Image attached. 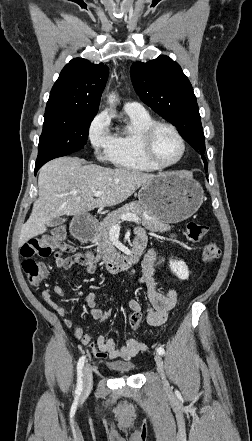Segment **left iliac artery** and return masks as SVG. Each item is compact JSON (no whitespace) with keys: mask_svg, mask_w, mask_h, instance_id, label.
Masks as SVG:
<instances>
[{"mask_svg":"<svg viewBox=\"0 0 252 441\" xmlns=\"http://www.w3.org/2000/svg\"><path fill=\"white\" fill-rule=\"evenodd\" d=\"M157 353H158V354H160V355H163V354L165 353V350H164V348H163V347H161V346H160V347H158V348H157Z\"/></svg>","mask_w":252,"mask_h":441,"instance_id":"obj_1","label":"left iliac artery"}]
</instances>
